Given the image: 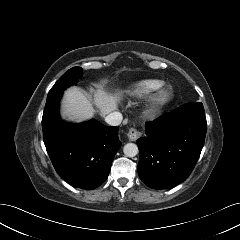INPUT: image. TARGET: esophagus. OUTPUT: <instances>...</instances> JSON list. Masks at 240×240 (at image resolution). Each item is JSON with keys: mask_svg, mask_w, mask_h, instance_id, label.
I'll list each match as a JSON object with an SVG mask.
<instances>
[{"mask_svg": "<svg viewBox=\"0 0 240 240\" xmlns=\"http://www.w3.org/2000/svg\"><path fill=\"white\" fill-rule=\"evenodd\" d=\"M141 136L142 133L135 128H131L127 133V137L130 141H136Z\"/></svg>", "mask_w": 240, "mask_h": 240, "instance_id": "esophagus-1", "label": "esophagus"}]
</instances>
